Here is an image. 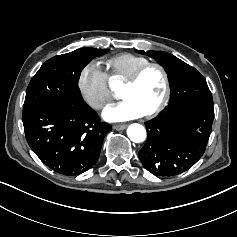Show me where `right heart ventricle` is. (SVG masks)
Wrapping results in <instances>:
<instances>
[{"label": "right heart ventricle", "instance_id": "obj_1", "mask_svg": "<svg viewBox=\"0 0 237 237\" xmlns=\"http://www.w3.org/2000/svg\"><path fill=\"white\" fill-rule=\"evenodd\" d=\"M147 63H149V60L145 57L131 53H121L109 58L106 62V68L111 80L124 82Z\"/></svg>", "mask_w": 237, "mask_h": 237}]
</instances>
